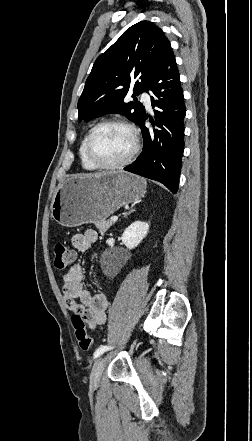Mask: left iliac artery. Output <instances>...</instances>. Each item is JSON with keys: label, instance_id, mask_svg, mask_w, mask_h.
<instances>
[{"label": "left iliac artery", "instance_id": "44dca946", "mask_svg": "<svg viewBox=\"0 0 252 441\" xmlns=\"http://www.w3.org/2000/svg\"><path fill=\"white\" fill-rule=\"evenodd\" d=\"M112 347L109 346H101L94 352V358L99 357L101 354H103L105 351L111 349Z\"/></svg>", "mask_w": 252, "mask_h": 441}]
</instances>
